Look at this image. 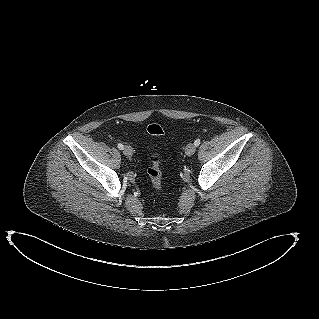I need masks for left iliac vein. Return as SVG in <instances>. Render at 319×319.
Returning <instances> with one entry per match:
<instances>
[{
  "label": "left iliac vein",
  "mask_w": 319,
  "mask_h": 319,
  "mask_svg": "<svg viewBox=\"0 0 319 319\" xmlns=\"http://www.w3.org/2000/svg\"><path fill=\"white\" fill-rule=\"evenodd\" d=\"M195 151H196V146H195V144L189 143V144L186 146V150H185L186 155L191 156V155H193V154L195 153Z\"/></svg>",
  "instance_id": "4c4485c4"
}]
</instances>
